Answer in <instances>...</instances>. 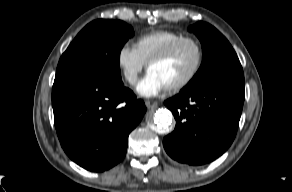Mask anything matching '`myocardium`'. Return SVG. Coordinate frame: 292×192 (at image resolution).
I'll use <instances>...</instances> for the list:
<instances>
[{
    "label": "myocardium",
    "instance_id": "obj_1",
    "mask_svg": "<svg viewBox=\"0 0 292 192\" xmlns=\"http://www.w3.org/2000/svg\"><path fill=\"white\" fill-rule=\"evenodd\" d=\"M191 44L195 47L196 51H197V61L196 64L193 68V70L190 72V74L185 77L183 80L179 81L178 83H175L169 87H167V89L169 91H173V92H177L180 91L184 88H186L187 86H189L195 79L196 77L199 75L203 64H204V49L200 43V41L194 37H190V36H183L179 39H177L176 41H174L172 44H170L165 50H163L162 52H160L159 54L155 55L154 57H152L148 62H147V69L149 70V68L156 64V63H160L163 61H166L167 59H169L170 57H172L174 55V53L184 44Z\"/></svg>",
    "mask_w": 292,
    "mask_h": 192
}]
</instances>
